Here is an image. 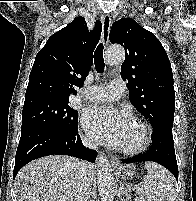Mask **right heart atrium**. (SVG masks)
I'll use <instances>...</instances> for the list:
<instances>
[{"mask_svg": "<svg viewBox=\"0 0 196 201\" xmlns=\"http://www.w3.org/2000/svg\"><path fill=\"white\" fill-rule=\"evenodd\" d=\"M83 140H84V142H85L86 144H88V145H92V144H93L92 139H90L89 137L84 136V137H83Z\"/></svg>", "mask_w": 196, "mask_h": 201, "instance_id": "obj_1", "label": "right heart atrium"}]
</instances>
